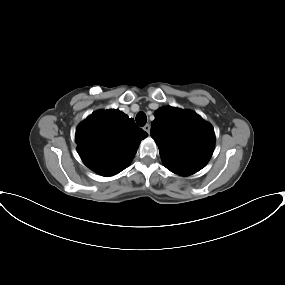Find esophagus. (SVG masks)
Listing matches in <instances>:
<instances>
[{
  "label": "esophagus",
  "mask_w": 285,
  "mask_h": 285,
  "mask_svg": "<svg viewBox=\"0 0 285 285\" xmlns=\"http://www.w3.org/2000/svg\"><path fill=\"white\" fill-rule=\"evenodd\" d=\"M150 128H151L150 124H146V125L143 127V129H144L148 134L150 133Z\"/></svg>",
  "instance_id": "1"
}]
</instances>
